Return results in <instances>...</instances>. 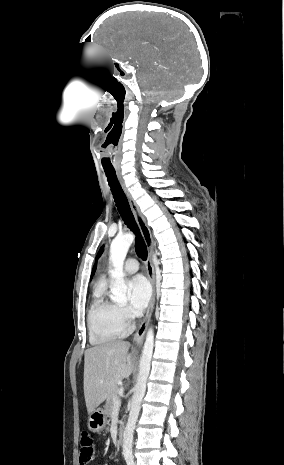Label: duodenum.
I'll return each mask as SVG.
<instances>
[{
  "instance_id": "410a0bca",
  "label": "duodenum",
  "mask_w": 284,
  "mask_h": 465,
  "mask_svg": "<svg viewBox=\"0 0 284 465\" xmlns=\"http://www.w3.org/2000/svg\"><path fill=\"white\" fill-rule=\"evenodd\" d=\"M125 429L124 427L118 428L116 431V439L118 442H122L124 439Z\"/></svg>"
}]
</instances>
